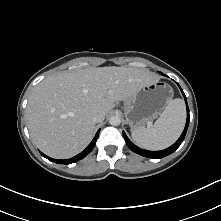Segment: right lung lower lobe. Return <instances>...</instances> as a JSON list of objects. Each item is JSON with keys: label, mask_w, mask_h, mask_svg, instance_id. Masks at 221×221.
Here are the masks:
<instances>
[{"label": "right lung lower lobe", "mask_w": 221, "mask_h": 221, "mask_svg": "<svg viewBox=\"0 0 221 221\" xmlns=\"http://www.w3.org/2000/svg\"><path fill=\"white\" fill-rule=\"evenodd\" d=\"M99 132H100V129L97 131L93 140L91 141V143L87 146V148L84 151H82L80 154H78L70 159H66V160L53 159V158L46 156L45 154H43L41 152L40 153L43 157H45V158L49 159L50 161L55 162L57 164H71V163L77 162V161L83 159L86 155H88L93 150V148L96 144V140L98 138Z\"/></svg>", "instance_id": "right-lung-lower-lobe-1"}]
</instances>
